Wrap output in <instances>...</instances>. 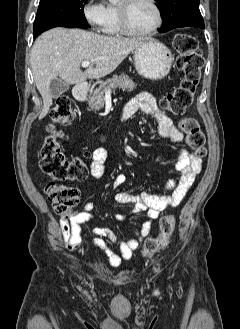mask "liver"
<instances>
[{
	"instance_id": "liver-1",
	"label": "liver",
	"mask_w": 240,
	"mask_h": 329,
	"mask_svg": "<svg viewBox=\"0 0 240 329\" xmlns=\"http://www.w3.org/2000/svg\"><path fill=\"white\" fill-rule=\"evenodd\" d=\"M144 39L99 35L81 29L53 28L42 33L31 51V69L43 98L39 119L52 106L50 82L58 76L67 84H81L112 73ZM93 62L84 72L82 62Z\"/></svg>"
}]
</instances>
